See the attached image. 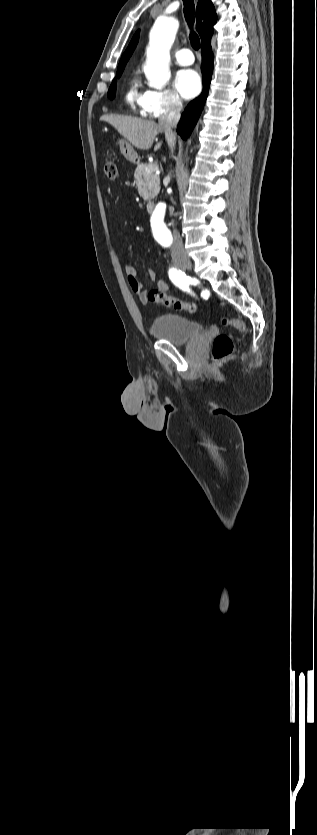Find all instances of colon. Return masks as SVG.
<instances>
[{
    "label": "colon",
    "instance_id": "5ec220e1",
    "mask_svg": "<svg viewBox=\"0 0 317 835\" xmlns=\"http://www.w3.org/2000/svg\"><path fill=\"white\" fill-rule=\"evenodd\" d=\"M104 173L110 180H114L117 177V167L113 161H106L104 163ZM147 299L151 303L164 305L167 307H172L177 310L187 311L189 313H194L196 311V306L192 303L185 302L177 297L170 296L165 292L159 289H152L150 290L147 295ZM222 324L224 326H232L237 328L240 332L245 330V325L242 321L235 319V318H223ZM234 350V344L232 338L227 334H220L218 335L212 344V357L215 361H221L227 357H229Z\"/></svg>",
    "mask_w": 317,
    "mask_h": 835
}]
</instances>
